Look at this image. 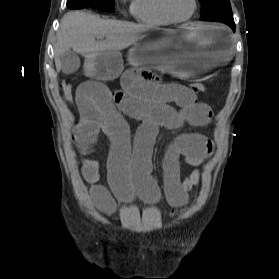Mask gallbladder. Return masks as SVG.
Returning <instances> with one entry per match:
<instances>
[{"label": "gallbladder", "instance_id": "gallbladder-1", "mask_svg": "<svg viewBox=\"0 0 279 279\" xmlns=\"http://www.w3.org/2000/svg\"><path fill=\"white\" fill-rule=\"evenodd\" d=\"M60 63L62 72L67 75L75 73L81 64L78 54L73 50L66 51L60 56Z\"/></svg>", "mask_w": 279, "mask_h": 279}]
</instances>
